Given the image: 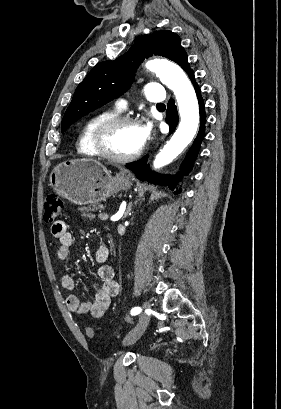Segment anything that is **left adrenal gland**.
<instances>
[{
	"mask_svg": "<svg viewBox=\"0 0 281 409\" xmlns=\"http://www.w3.org/2000/svg\"><path fill=\"white\" fill-rule=\"evenodd\" d=\"M132 207H133V202H129V205L127 207V211H126V213H124V217H122V219H125V217H128V213H131Z\"/></svg>",
	"mask_w": 281,
	"mask_h": 409,
	"instance_id": "1",
	"label": "left adrenal gland"
}]
</instances>
